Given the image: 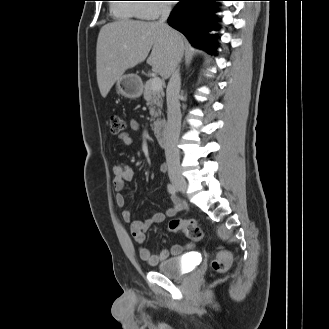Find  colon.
<instances>
[{
  "instance_id": "obj_1",
  "label": "colon",
  "mask_w": 329,
  "mask_h": 329,
  "mask_svg": "<svg viewBox=\"0 0 329 329\" xmlns=\"http://www.w3.org/2000/svg\"><path fill=\"white\" fill-rule=\"evenodd\" d=\"M125 120L119 115H111L110 132L113 135L124 133ZM167 228L171 232H182L189 239L199 241L203 238V231L195 220L171 219ZM231 254L228 251H220L212 261V268L218 273H226L231 267Z\"/></svg>"
}]
</instances>
